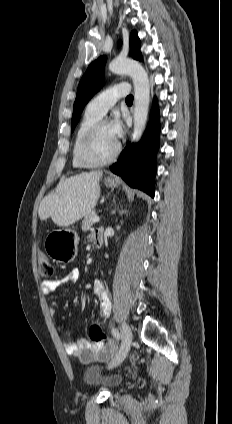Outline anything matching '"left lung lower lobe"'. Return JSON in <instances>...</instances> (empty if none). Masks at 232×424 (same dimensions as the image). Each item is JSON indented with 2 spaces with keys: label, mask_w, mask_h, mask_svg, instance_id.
I'll return each instance as SVG.
<instances>
[{
  "label": "left lung lower lobe",
  "mask_w": 232,
  "mask_h": 424,
  "mask_svg": "<svg viewBox=\"0 0 232 424\" xmlns=\"http://www.w3.org/2000/svg\"><path fill=\"white\" fill-rule=\"evenodd\" d=\"M159 110L156 100L150 114V121L139 144L127 145L111 171L121 176L131 187L143 190L154 197L156 154L159 149Z\"/></svg>",
  "instance_id": "left-lung-lower-lobe-1"
}]
</instances>
